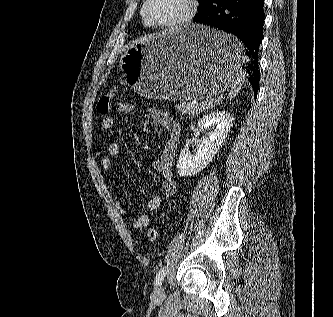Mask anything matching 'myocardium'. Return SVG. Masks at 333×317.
<instances>
[{"instance_id": "1", "label": "myocardium", "mask_w": 333, "mask_h": 317, "mask_svg": "<svg viewBox=\"0 0 333 317\" xmlns=\"http://www.w3.org/2000/svg\"><path fill=\"white\" fill-rule=\"evenodd\" d=\"M151 0H144L141 8V15L148 26L166 29H180L186 26L195 16L197 11L196 0H183L185 9L182 15L171 21H157L148 16L147 8Z\"/></svg>"}]
</instances>
